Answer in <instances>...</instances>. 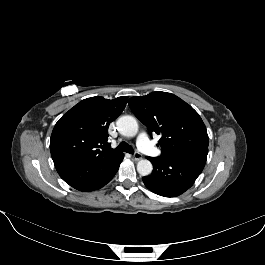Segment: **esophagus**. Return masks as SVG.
Instances as JSON below:
<instances>
[{"mask_svg": "<svg viewBox=\"0 0 265 265\" xmlns=\"http://www.w3.org/2000/svg\"><path fill=\"white\" fill-rule=\"evenodd\" d=\"M132 158L134 159V160H140L141 159V154H139V153H134L133 155H132Z\"/></svg>", "mask_w": 265, "mask_h": 265, "instance_id": "obj_1", "label": "esophagus"}]
</instances>
